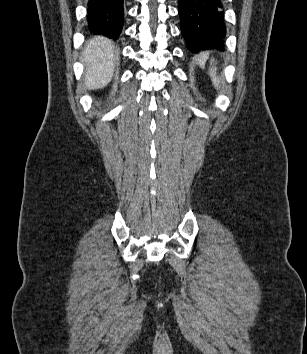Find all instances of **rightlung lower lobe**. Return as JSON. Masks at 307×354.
<instances>
[{
  "label": "right lung lower lobe",
  "mask_w": 307,
  "mask_h": 354,
  "mask_svg": "<svg viewBox=\"0 0 307 354\" xmlns=\"http://www.w3.org/2000/svg\"><path fill=\"white\" fill-rule=\"evenodd\" d=\"M124 0H89L87 22L95 34L117 39L124 23Z\"/></svg>",
  "instance_id": "98d812e1"
}]
</instances>
